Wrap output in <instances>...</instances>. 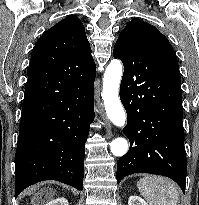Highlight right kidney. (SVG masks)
<instances>
[{"label": "right kidney", "instance_id": "ca27d5eb", "mask_svg": "<svg viewBox=\"0 0 199 205\" xmlns=\"http://www.w3.org/2000/svg\"><path fill=\"white\" fill-rule=\"evenodd\" d=\"M45 205H69V203L65 198L61 197V198H56L54 200H51Z\"/></svg>", "mask_w": 199, "mask_h": 205}]
</instances>
